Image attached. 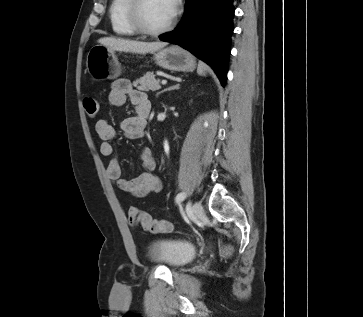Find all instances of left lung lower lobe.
Segmentation results:
<instances>
[{
	"mask_svg": "<svg viewBox=\"0 0 363 317\" xmlns=\"http://www.w3.org/2000/svg\"><path fill=\"white\" fill-rule=\"evenodd\" d=\"M233 0H186L178 27L159 36L192 52L209 64L225 85L233 32Z\"/></svg>",
	"mask_w": 363,
	"mask_h": 317,
	"instance_id": "0a47b994",
	"label": "left lung lower lobe"
}]
</instances>
